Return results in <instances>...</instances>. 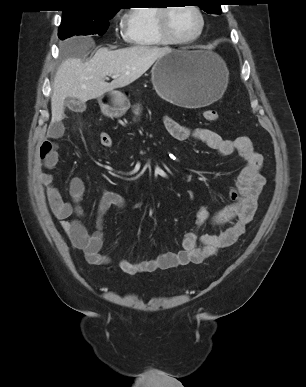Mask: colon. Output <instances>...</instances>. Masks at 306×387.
<instances>
[{"label": "colon", "mask_w": 306, "mask_h": 387, "mask_svg": "<svg viewBox=\"0 0 306 387\" xmlns=\"http://www.w3.org/2000/svg\"><path fill=\"white\" fill-rule=\"evenodd\" d=\"M203 116L209 122H216L219 119L218 112L213 109L204 111ZM99 143L104 147H110L112 145V138L108 133L102 132L99 135Z\"/></svg>", "instance_id": "colon-1"}]
</instances>
